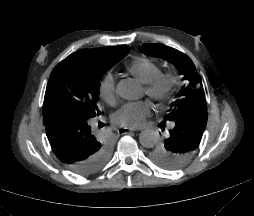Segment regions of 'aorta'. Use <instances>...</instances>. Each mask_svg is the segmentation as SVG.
Here are the masks:
<instances>
[{
    "label": "aorta",
    "instance_id": "obj_1",
    "mask_svg": "<svg viewBox=\"0 0 254 216\" xmlns=\"http://www.w3.org/2000/svg\"><path fill=\"white\" fill-rule=\"evenodd\" d=\"M140 143L145 147H151L157 141V133L151 130H145L140 134Z\"/></svg>",
    "mask_w": 254,
    "mask_h": 216
}]
</instances>
